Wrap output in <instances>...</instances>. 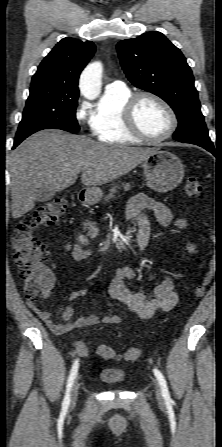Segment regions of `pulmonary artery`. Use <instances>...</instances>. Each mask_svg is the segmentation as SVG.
Returning a JSON list of instances; mask_svg holds the SVG:
<instances>
[{"label":"pulmonary artery","instance_id":"1","mask_svg":"<svg viewBox=\"0 0 222 447\" xmlns=\"http://www.w3.org/2000/svg\"><path fill=\"white\" fill-rule=\"evenodd\" d=\"M126 88L127 87H126L125 83L120 80L112 81L109 84H107V86H106V90H113V91H121Z\"/></svg>","mask_w":222,"mask_h":447}]
</instances>
